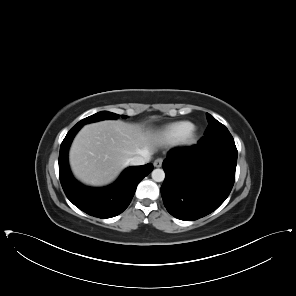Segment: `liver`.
Wrapping results in <instances>:
<instances>
[{
	"mask_svg": "<svg viewBox=\"0 0 296 296\" xmlns=\"http://www.w3.org/2000/svg\"><path fill=\"white\" fill-rule=\"evenodd\" d=\"M163 144L160 134L138 124L106 120L85 125L70 148L74 175L83 183L103 186L114 181L134 156L151 154Z\"/></svg>",
	"mask_w": 296,
	"mask_h": 296,
	"instance_id": "obj_1",
	"label": "liver"
}]
</instances>
